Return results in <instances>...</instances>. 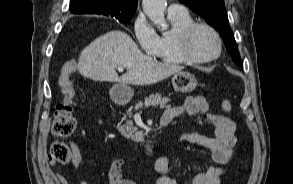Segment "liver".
Here are the masks:
<instances>
[{"label": "liver", "mask_w": 293, "mask_h": 184, "mask_svg": "<svg viewBox=\"0 0 293 184\" xmlns=\"http://www.w3.org/2000/svg\"><path fill=\"white\" fill-rule=\"evenodd\" d=\"M119 66L127 69L121 77L116 72ZM77 69L81 75L94 81L150 85L180 72L183 67L153 60L138 49L127 33L114 30L82 50Z\"/></svg>", "instance_id": "6515ba94"}]
</instances>
